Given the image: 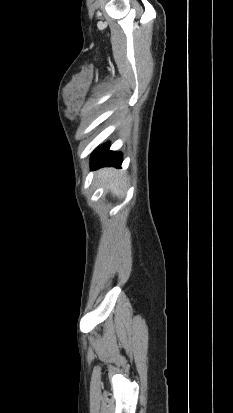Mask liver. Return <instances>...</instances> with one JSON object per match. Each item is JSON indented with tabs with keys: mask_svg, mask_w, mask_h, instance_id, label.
<instances>
[{
	"mask_svg": "<svg viewBox=\"0 0 233 413\" xmlns=\"http://www.w3.org/2000/svg\"><path fill=\"white\" fill-rule=\"evenodd\" d=\"M99 176L102 177L104 182H108L107 188L115 195L122 193L123 183L118 175H116V170L114 169H102L99 172ZM109 178V179H108Z\"/></svg>",
	"mask_w": 233,
	"mask_h": 413,
	"instance_id": "obj_1",
	"label": "liver"
}]
</instances>
